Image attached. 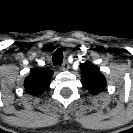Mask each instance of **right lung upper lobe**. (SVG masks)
Masks as SVG:
<instances>
[{"mask_svg": "<svg viewBox=\"0 0 133 133\" xmlns=\"http://www.w3.org/2000/svg\"><path fill=\"white\" fill-rule=\"evenodd\" d=\"M53 72L48 69H33L25 78L24 87L30 95H41L49 87Z\"/></svg>", "mask_w": 133, "mask_h": 133, "instance_id": "1", "label": "right lung upper lobe"}]
</instances>
